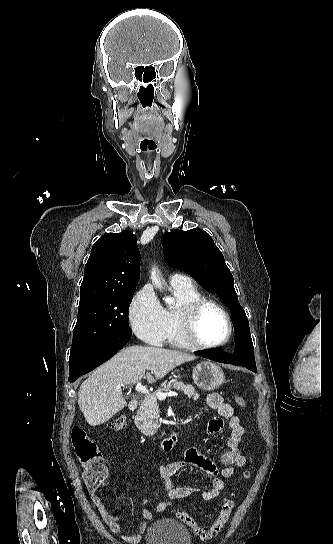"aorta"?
<instances>
[{"mask_svg":"<svg viewBox=\"0 0 333 544\" xmlns=\"http://www.w3.org/2000/svg\"><path fill=\"white\" fill-rule=\"evenodd\" d=\"M152 281L155 282L156 285L158 284V279L155 273H152ZM165 302L171 304L173 302V299L168 297L165 299Z\"/></svg>","mask_w":333,"mask_h":544,"instance_id":"obj_1","label":"aorta"}]
</instances>
